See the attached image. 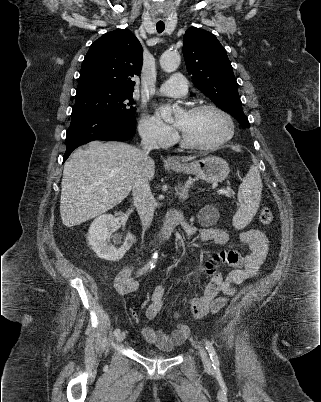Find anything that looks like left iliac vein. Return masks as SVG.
<instances>
[{"mask_svg": "<svg viewBox=\"0 0 321 402\" xmlns=\"http://www.w3.org/2000/svg\"><path fill=\"white\" fill-rule=\"evenodd\" d=\"M198 350H199V355H200V358H201L204 366L208 367V368L211 367V361H210V358H209L206 350L202 346H199Z\"/></svg>", "mask_w": 321, "mask_h": 402, "instance_id": "obj_1", "label": "left iliac vein"}]
</instances>
